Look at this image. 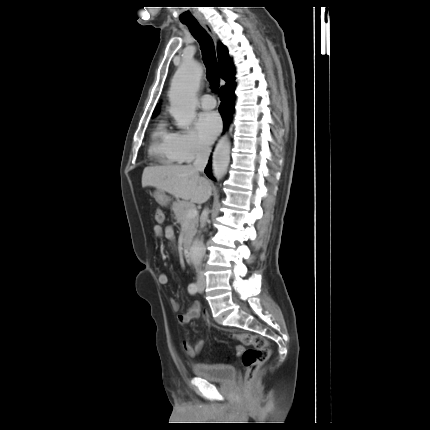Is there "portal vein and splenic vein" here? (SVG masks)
<instances>
[{"instance_id": "portal-vein-and-splenic-vein-1", "label": "portal vein and splenic vein", "mask_w": 430, "mask_h": 430, "mask_svg": "<svg viewBox=\"0 0 430 430\" xmlns=\"http://www.w3.org/2000/svg\"><path fill=\"white\" fill-rule=\"evenodd\" d=\"M198 215V210L196 208H190L187 212V218H192Z\"/></svg>"}]
</instances>
